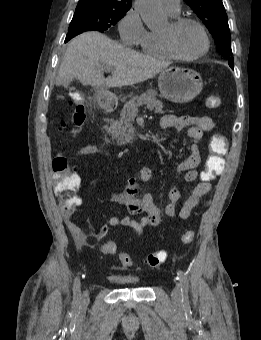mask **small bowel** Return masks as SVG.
Instances as JSON below:
<instances>
[{
	"instance_id": "1",
	"label": "small bowel",
	"mask_w": 261,
	"mask_h": 340,
	"mask_svg": "<svg viewBox=\"0 0 261 340\" xmlns=\"http://www.w3.org/2000/svg\"><path fill=\"white\" fill-rule=\"evenodd\" d=\"M162 129L173 128L176 131H181L184 128H188L187 135L194 140L191 146L190 155L180 161L176 165L178 173L183 175L186 182L191 183L200 178L201 173L197 168L201 163V154L197 143L201 140L206 132H209L214 127V121L210 116L197 115V116H174L165 115L160 122ZM104 154L109 155L110 152L100 146L86 145L81 147L77 152V156ZM139 178L147 182L152 177V170L148 167H142L139 171ZM80 183V177L77 175ZM201 179V178H200ZM211 189V183L199 182L192 190L190 195L183 202L180 210L179 217L182 219H188L193 210L198 206L201 198L209 192ZM181 201V192L173 188L168 193V202L164 209L159 208L153 201V197L150 193L141 194L135 179L128 178L124 189L114 197V202L122 204L126 207L129 215L123 218L112 216L108 219L93 236L96 239L104 238L109 228L116 226L128 227L137 233H142L148 227L158 226L164 217L172 218L177 214V206ZM81 201L79 202V204ZM143 214V216L134 218L133 215ZM64 222L70 233L72 234L76 245L79 248H85L88 244V234L84 232L78 225H76L69 215L64 216Z\"/></svg>"
}]
</instances>
